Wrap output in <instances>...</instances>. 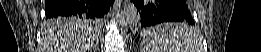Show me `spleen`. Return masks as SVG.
<instances>
[{
    "mask_svg": "<svg viewBox=\"0 0 261 52\" xmlns=\"http://www.w3.org/2000/svg\"><path fill=\"white\" fill-rule=\"evenodd\" d=\"M192 32L184 23L161 24L143 32L141 46L144 52H195L197 43L189 37ZM177 33L187 35L178 38Z\"/></svg>",
    "mask_w": 261,
    "mask_h": 52,
    "instance_id": "obj_1",
    "label": "spleen"
}]
</instances>
